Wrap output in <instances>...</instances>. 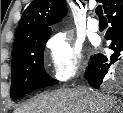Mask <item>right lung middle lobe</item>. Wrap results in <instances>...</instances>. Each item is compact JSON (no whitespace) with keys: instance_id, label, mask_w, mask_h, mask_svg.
Masks as SVG:
<instances>
[{"instance_id":"right-lung-middle-lobe-1","label":"right lung middle lobe","mask_w":123,"mask_h":113,"mask_svg":"<svg viewBox=\"0 0 123 113\" xmlns=\"http://www.w3.org/2000/svg\"><path fill=\"white\" fill-rule=\"evenodd\" d=\"M49 35L24 42L13 50L10 96L18 99L25 94L58 81L44 70L43 51Z\"/></svg>"}]
</instances>
